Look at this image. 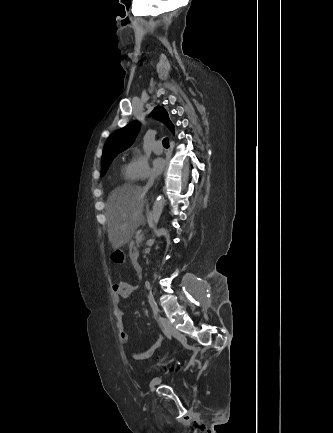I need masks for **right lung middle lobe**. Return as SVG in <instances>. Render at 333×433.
Returning a JSON list of instances; mask_svg holds the SVG:
<instances>
[{
    "label": "right lung middle lobe",
    "mask_w": 333,
    "mask_h": 433,
    "mask_svg": "<svg viewBox=\"0 0 333 433\" xmlns=\"http://www.w3.org/2000/svg\"><path fill=\"white\" fill-rule=\"evenodd\" d=\"M114 158H115V156L109 158L108 160H106L105 162L102 163L101 176H103L106 173L109 165L111 164V162L113 161Z\"/></svg>",
    "instance_id": "obj_1"
}]
</instances>
